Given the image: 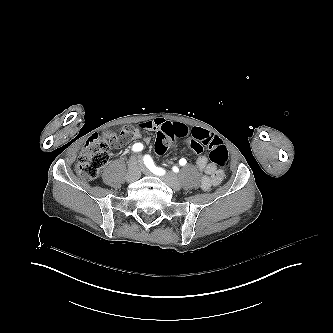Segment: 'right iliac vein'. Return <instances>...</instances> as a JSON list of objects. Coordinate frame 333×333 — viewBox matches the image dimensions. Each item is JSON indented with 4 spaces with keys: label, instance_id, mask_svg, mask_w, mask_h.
Masks as SVG:
<instances>
[{
    "label": "right iliac vein",
    "instance_id": "obj_1",
    "mask_svg": "<svg viewBox=\"0 0 333 333\" xmlns=\"http://www.w3.org/2000/svg\"><path fill=\"white\" fill-rule=\"evenodd\" d=\"M138 178H139V168H138V165L136 163V160L134 158H132L129 161L127 181L131 183V182H134V181L138 180Z\"/></svg>",
    "mask_w": 333,
    "mask_h": 333
}]
</instances>
